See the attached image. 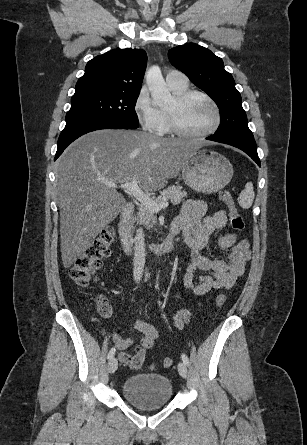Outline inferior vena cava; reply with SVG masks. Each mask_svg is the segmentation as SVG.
Listing matches in <instances>:
<instances>
[{"instance_id":"1","label":"inferior vena cava","mask_w":307,"mask_h":445,"mask_svg":"<svg viewBox=\"0 0 307 445\" xmlns=\"http://www.w3.org/2000/svg\"><path fill=\"white\" fill-rule=\"evenodd\" d=\"M144 235L142 229H137L136 237H135V251H134V259H133V277L134 281L138 283L141 281V277L143 275L144 267H145V243H144Z\"/></svg>"}]
</instances>
